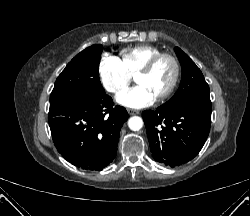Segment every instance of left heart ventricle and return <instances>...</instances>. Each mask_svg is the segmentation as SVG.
Masks as SVG:
<instances>
[{"label": "left heart ventricle", "instance_id": "1", "mask_svg": "<svg viewBox=\"0 0 250 216\" xmlns=\"http://www.w3.org/2000/svg\"><path fill=\"white\" fill-rule=\"evenodd\" d=\"M172 76V63L167 59H163L158 62L149 74L139 76L136 81L138 84L146 86L154 97H156L168 87Z\"/></svg>", "mask_w": 250, "mask_h": 216}]
</instances>
